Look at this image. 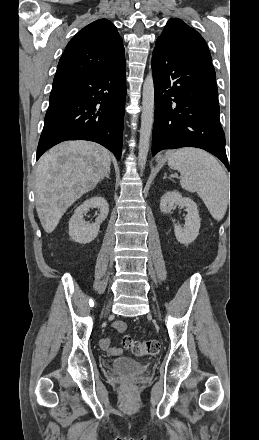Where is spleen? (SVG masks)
<instances>
[{"label": "spleen", "mask_w": 259, "mask_h": 440, "mask_svg": "<svg viewBox=\"0 0 259 440\" xmlns=\"http://www.w3.org/2000/svg\"><path fill=\"white\" fill-rule=\"evenodd\" d=\"M168 165L180 172L182 188L197 192L214 219L224 217L229 180L215 157L201 149L182 148L168 154Z\"/></svg>", "instance_id": "3e777b00"}]
</instances>
